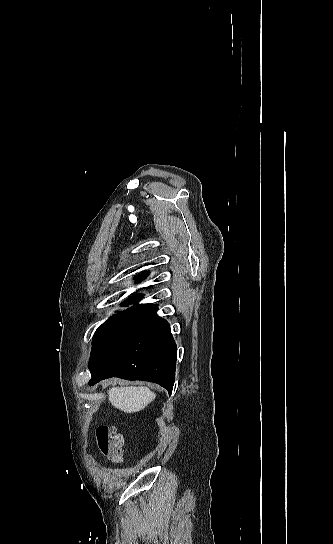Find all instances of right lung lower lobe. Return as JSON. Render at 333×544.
Wrapping results in <instances>:
<instances>
[{
  "label": "right lung lower lobe",
  "mask_w": 333,
  "mask_h": 544,
  "mask_svg": "<svg viewBox=\"0 0 333 544\" xmlns=\"http://www.w3.org/2000/svg\"><path fill=\"white\" fill-rule=\"evenodd\" d=\"M177 347L169 323L158 318L142 335L113 353L101 364L90 366V385L110 377L154 382L172 393Z\"/></svg>",
  "instance_id": "1"
}]
</instances>
